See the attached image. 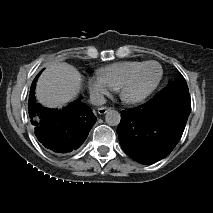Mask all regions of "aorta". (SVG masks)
Listing matches in <instances>:
<instances>
[{
    "mask_svg": "<svg viewBox=\"0 0 213 213\" xmlns=\"http://www.w3.org/2000/svg\"><path fill=\"white\" fill-rule=\"evenodd\" d=\"M121 120V115L117 110L108 109L105 114V122L109 126H118Z\"/></svg>",
    "mask_w": 213,
    "mask_h": 213,
    "instance_id": "obj_1",
    "label": "aorta"
}]
</instances>
